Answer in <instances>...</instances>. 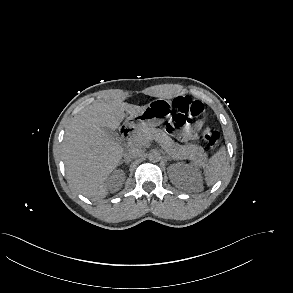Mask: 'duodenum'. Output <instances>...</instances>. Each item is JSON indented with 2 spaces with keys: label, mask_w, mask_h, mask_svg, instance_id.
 I'll return each instance as SVG.
<instances>
[{
  "label": "duodenum",
  "mask_w": 293,
  "mask_h": 293,
  "mask_svg": "<svg viewBox=\"0 0 293 293\" xmlns=\"http://www.w3.org/2000/svg\"><path fill=\"white\" fill-rule=\"evenodd\" d=\"M133 130H134V128L131 125H126V126L122 127V129H121L122 137L125 140H127L130 137V135L133 132Z\"/></svg>",
  "instance_id": "duodenum-1"
}]
</instances>
